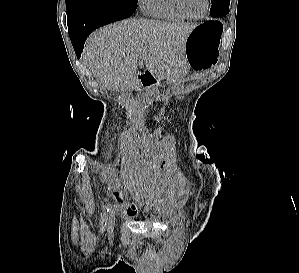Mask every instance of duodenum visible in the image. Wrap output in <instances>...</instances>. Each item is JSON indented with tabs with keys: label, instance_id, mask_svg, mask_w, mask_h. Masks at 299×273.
I'll use <instances>...</instances> for the list:
<instances>
[{
	"label": "duodenum",
	"instance_id": "duodenum-1",
	"mask_svg": "<svg viewBox=\"0 0 299 273\" xmlns=\"http://www.w3.org/2000/svg\"><path fill=\"white\" fill-rule=\"evenodd\" d=\"M139 80L144 86H150L154 81V76L150 71L139 73Z\"/></svg>",
	"mask_w": 299,
	"mask_h": 273
}]
</instances>
